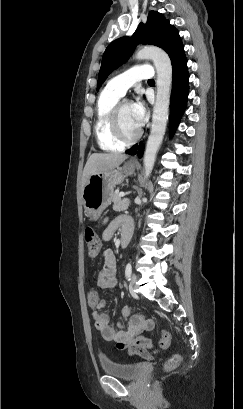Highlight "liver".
Listing matches in <instances>:
<instances>
[{
  "label": "liver",
  "instance_id": "obj_1",
  "mask_svg": "<svg viewBox=\"0 0 243 409\" xmlns=\"http://www.w3.org/2000/svg\"><path fill=\"white\" fill-rule=\"evenodd\" d=\"M127 155L120 153H94L87 159L83 170L82 187L94 173H104L113 170L127 159Z\"/></svg>",
  "mask_w": 243,
  "mask_h": 409
}]
</instances>
